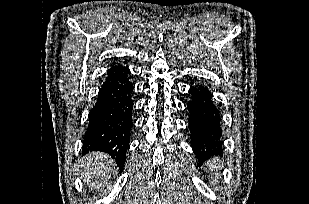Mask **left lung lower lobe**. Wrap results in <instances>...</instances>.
<instances>
[{"mask_svg":"<svg viewBox=\"0 0 309 204\" xmlns=\"http://www.w3.org/2000/svg\"><path fill=\"white\" fill-rule=\"evenodd\" d=\"M189 129L191 146L198 159L222 153L221 116L207 87L189 89Z\"/></svg>","mask_w":309,"mask_h":204,"instance_id":"0a47b994","label":"left lung lower lobe"}]
</instances>
